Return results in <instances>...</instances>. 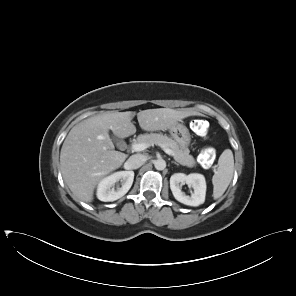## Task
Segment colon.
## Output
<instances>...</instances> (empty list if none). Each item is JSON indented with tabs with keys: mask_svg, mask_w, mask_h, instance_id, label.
Masks as SVG:
<instances>
[{
	"mask_svg": "<svg viewBox=\"0 0 296 296\" xmlns=\"http://www.w3.org/2000/svg\"><path fill=\"white\" fill-rule=\"evenodd\" d=\"M191 130L199 136H204L208 130V126L203 120L195 119L190 122ZM213 157L212 149H205L200 155V162L203 164H208Z\"/></svg>",
	"mask_w": 296,
	"mask_h": 296,
	"instance_id": "5ec220e1",
	"label": "colon"
}]
</instances>
